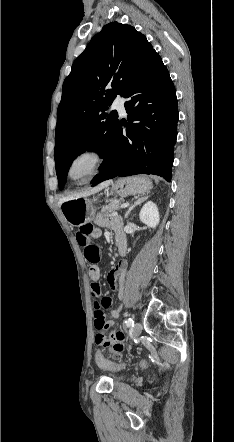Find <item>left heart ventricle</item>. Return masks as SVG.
<instances>
[{
    "label": "left heart ventricle",
    "instance_id": "obj_1",
    "mask_svg": "<svg viewBox=\"0 0 234 442\" xmlns=\"http://www.w3.org/2000/svg\"><path fill=\"white\" fill-rule=\"evenodd\" d=\"M92 166L93 158L89 155H83L74 161L71 167V175L75 180H81L91 172Z\"/></svg>",
    "mask_w": 234,
    "mask_h": 442
}]
</instances>
